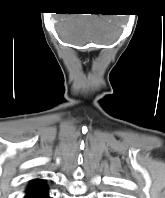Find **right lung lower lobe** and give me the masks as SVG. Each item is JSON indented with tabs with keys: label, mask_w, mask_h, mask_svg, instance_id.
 Listing matches in <instances>:
<instances>
[{
	"label": "right lung lower lobe",
	"mask_w": 165,
	"mask_h": 198,
	"mask_svg": "<svg viewBox=\"0 0 165 198\" xmlns=\"http://www.w3.org/2000/svg\"><path fill=\"white\" fill-rule=\"evenodd\" d=\"M25 198H49L48 189L46 186L37 190L26 193Z\"/></svg>",
	"instance_id": "98d812e1"
}]
</instances>
